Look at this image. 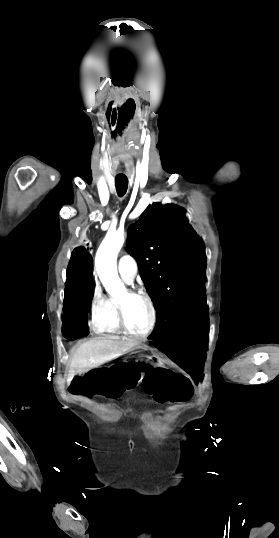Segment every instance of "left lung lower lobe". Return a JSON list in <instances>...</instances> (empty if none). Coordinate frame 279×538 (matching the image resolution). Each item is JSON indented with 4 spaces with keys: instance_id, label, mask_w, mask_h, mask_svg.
<instances>
[{
    "instance_id": "0a47b994",
    "label": "left lung lower lobe",
    "mask_w": 279,
    "mask_h": 538,
    "mask_svg": "<svg viewBox=\"0 0 279 538\" xmlns=\"http://www.w3.org/2000/svg\"><path fill=\"white\" fill-rule=\"evenodd\" d=\"M208 307L191 318L170 336H149L152 343L178 366L184 368L198 382L203 371V361L209 332Z\"/></svg>"
}]
</instances>
